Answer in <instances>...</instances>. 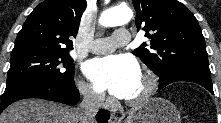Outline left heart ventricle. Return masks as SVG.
<instances>
[{
    "mask_svg": "<svg viewBox=\"0 0 221 123\" xmlns=\"http://www.w3.org/2000/svg\"><path fill=\"white\" fill-rule=\"evenodd\" d=\"M145 86H146V84H145L144 80L142 79V77L140 76L137 79V81L134 83V85L132 86L129 94L125 98L126 99H133V98L138 97L144 91Z\"/></svg>",
    "mask_w": 221,
    "mask_h": 123,
    "instance_id": "obj_1",
    "label": "left heart ventricle"
}]
</instances>
